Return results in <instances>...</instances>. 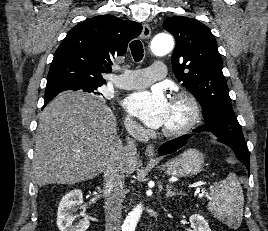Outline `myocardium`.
<instances>
[{"label": "myocardium", "mask_w": 268, "mask_h": 231, "mask_svg": "<svg viewBox=\"0 0 268 231\" xmlns=\"http://www.w3.org/2000/svg\"><path fill=\"white\" fill-rule=\"evenodd\" d=\"M180 101L187 105L189 115L186 121L175 129H161V133L166 137H178L187 134L198 123L201 109L198 100L188 91H180L172 95L171 102Z\"/></svg>", "instance_id": "1"}]
</instances>
